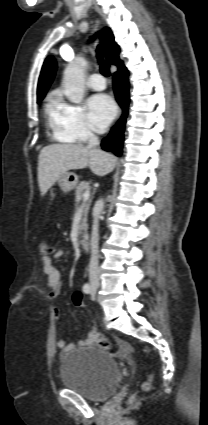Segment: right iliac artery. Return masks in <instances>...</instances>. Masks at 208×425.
Wrapping results in <instances>:
<instances>
[{
    "mask_svg": "<svg viewBox=\"0 0 208 425\" xmlns=\"http://www.w3.org/2000/svg\"><path fill=\"white\" fill-rule=\"evenodd\" d=\"M83 291H84L86 294H89V293L91 292V287H90V285H89L88 283L84 284V286H83Z\"/></svg>",
    "mask_w": 208,
    "mask_h": 425,
    "instance_id": "obj_1",
    "label": "right iliac artery"
}]
</instances>
